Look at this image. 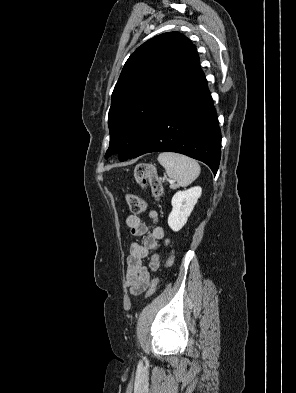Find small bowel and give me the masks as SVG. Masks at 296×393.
<instances>
[{
    "instance_id": "1",
    "label": "small bowel",
    "mask_w": 296,
    "mask_h": 393,
    "mask_svg": "<svg viewBox=\"0 0 296 393\" xmlns=\"http://www.w3.org/2000/svg\"><path fill=\"white\" fill-rule=\"evenodd\" d=\"M149 219L157 223L159 214L156 210L148 212ZM126 224L133 236H142L143 242L132 243L130 246V253L127 257L126 279L131 295H139L143 293L151 279V272L156 271L161 262L160 242L169 244V239L166 238L162 227L155 226L153 230L148 233L147 226L142 222L141 218L136 214H130L126 218ZM153 251L154 254L149 257L148 264L144 265L143 261Z\"/></svg>"
}]
</instances>
